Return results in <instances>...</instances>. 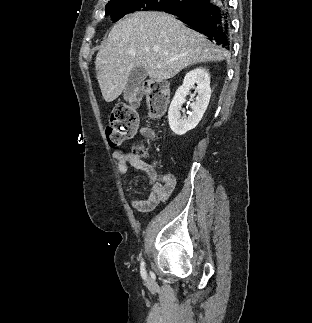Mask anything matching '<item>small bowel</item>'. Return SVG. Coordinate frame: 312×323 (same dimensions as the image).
<instances>
[{"label":"small bowel","mask_w":312,"mask_h":323,"mask_svg":"<svg viewBox=\"0 0 312 323\" xmlns=\"http://www.w3.org/2000/svg\"><path fill=\"white\" fill-rule=\"evenodd\" d=\"M117 168L122 175H126L130 170L143 172L147 175L151 184V190L146 199H133L131 206L134 210L148 213L158 203L166 200L176 186V178L170 173H160L156 163H146L138 156L123 151L115 152Z\"/></svg>","instance_id":"obj_1"}]
</instances>
